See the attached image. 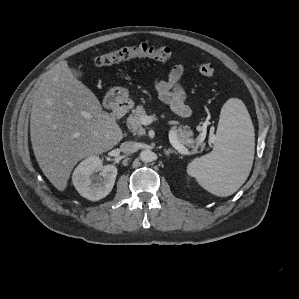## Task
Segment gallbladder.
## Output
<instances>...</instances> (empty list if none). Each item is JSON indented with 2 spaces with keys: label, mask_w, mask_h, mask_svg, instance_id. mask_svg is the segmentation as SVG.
<instances>
[{
  "label": "gallbladder",
  "mask_w": 299,
  "mask_h": 299,
  "mask_svg": "<svg viewBox=\"0 0 299 299\" xmlns=\"http://www.w3.org/2000/svg\"><path fill=\"white\" fill-rule=\"evenodd\" d=\"M72 71H73V74L78 78L82 77V75H83V73L79 70L73 69Z\"/></svg>",
  "instance_id": "gallbladder-1"
}]
</instances>
